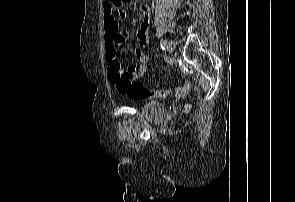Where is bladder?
<instances>
[{
    "mask_svg": "<svg viewBox=\"0 0 295 202\" xmlns=\"http://www.w3.org/2000/svg\"><path fill=\"white\" fill-rule=\"evenodd\" d=\"M141 114L147 121L160 122L166 118L167 109L162 102L148 100L143 104Z\"/></svg>",
    "mask_w": 295,
    "mask_h": 202,
    "instance_id": "obj_1",
    "label": "bladder"
}]
</instances>
